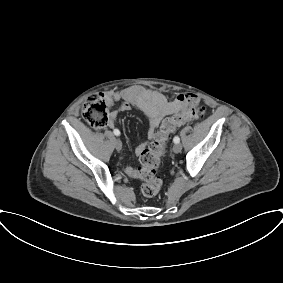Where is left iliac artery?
I'll use <instances>...</instances> for the list:
<instances>
[{"label":"left iliac artery","instance_id":"left-iliac-artery-1","mask_svg":"<svg viewBox=\"0 0 283 283\" xmlns=\"http://www.w3.org/2000/svg\"><path fill=\"white\" fill-rule=\"evenodd\" d=\"M173 141H174V143H179L180 142V138L178 136H175Z\"/></svg>","mask_w":283,"mask_h":283}]
</instances>
